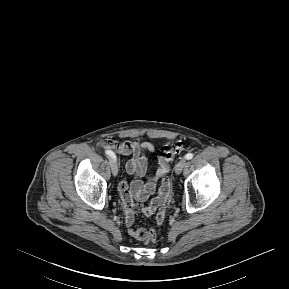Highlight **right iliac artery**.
Returning <instances> with one entry per match:
<instances>
[{
	"instance_id": "obj_1",
	"label": "right iliac artery",
	"mask_w": 289,
	"mask_h": 289,
	"mask_svg": "<svg viewBox=\"0 0 289 289\" xmlns=\"http://www.w3.org/2000/svg\"><path fill=\"white\" fill-rule=\"evenodd\" d=\"M105 154L108 155L109 157H111L113 160H116V155L111 150H106Z\"/></svg>"
}]
</instances>
